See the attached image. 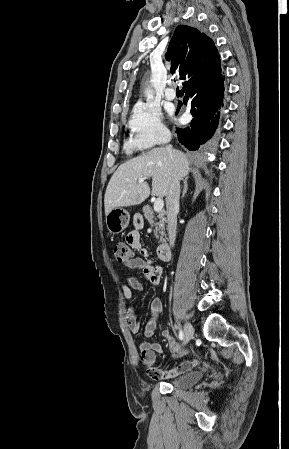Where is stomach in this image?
<instances>
[{"instance_id": "obj_1", "label": "stomach", "mask_w": 289, "mask_h": 449, "mask_svg": "<svg viewBox=\"0 0 289 449\" xmlns=\"http://www.w3.org/2000/svg\"><path fill=\"white\" fill-rule=\"evenodd\" d=\"M130 215L127 210L117 207L106 215V226L113 234H118L127 228Z\"/></svg>"}]
</instances>
